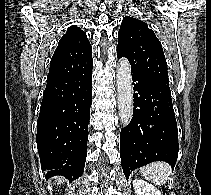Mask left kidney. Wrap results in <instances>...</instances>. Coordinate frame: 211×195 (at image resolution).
<instances>
[{
	"label": "left kidney",
	"mask_w": 211,
	"mask_h": 195,
	"mask_svg": "<svg viewBox=\"0 0 211 195\" xmlns=\"http://www.w3.org/2000/svg\"><path fill=\"white\" fill-rule=\"evenodd\" d=\"M133 188L137 195H162L155 186L141 179L133 180Z\"/></svg>",
	"instance_id": "5707ae66"
}]
</instances>
